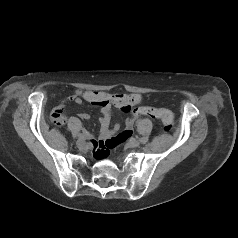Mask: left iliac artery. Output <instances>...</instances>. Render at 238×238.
<instances>
[{
  "label": "left iliac artery",
  "mask_w": 238,
  "mask_h": 238,
  "mask_svg": "<svg viewBox=\"0 0 238 238\" xmlns=\"http://www.w3.org/2000/svg\"><path fill=\"white\" fill-rule=\"evenodd\" d=\"M140 141H141V142H146V140H145L144 137L140 138Z\"/></svg>",
  "instance_id": "left-iliac-artery-1"
}]
</instances>
